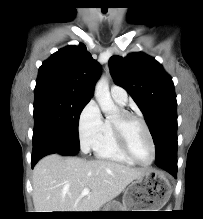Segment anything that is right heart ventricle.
Instances as JSON below:
<instances>
[{"label":"right heart ventricle","mask_w":203,"mask_h":219,"mask_svg":"<svg viewBox=\"0 0 203 219\" xmlns=\"http://www.w3.org/2000/svg\"><path fill=\"white\" fill-rule=\"evenodd\" d=\"M95 156L99 159L113 161L125 165H134L120 148L115 131L113 128L112 119L103 121L102 129L93 147Z\"/></svg>","instance_id":"right-heart-ventricle-1"}]
</instances>
